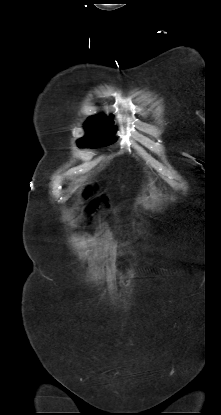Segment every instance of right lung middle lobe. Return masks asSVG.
Segmentation results:
<instances>
[{"label":"right lung middle lobe","mask_w":221,"mask_h":415,"mask_svg":"<svg viewBox=\"0 0 221 415\" xmlns=\"http://www.w3.org/2000/svg\"><path fill=\"white\" fill-rule=\"evenodd\" d=\"M84 126L88 133L78 140L77 143L79 147L98 148L113 143V140L111 139L113 127L111 126L110 119H107V117H90Z\"/></svg>","instance_id":"1"}]
</instances>
